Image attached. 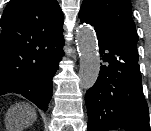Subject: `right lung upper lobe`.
<instances>
[{
	"label": "right lung upper lobe",
	"mask_w": 151,
	"mask_h": 131,
	"mask_svg": "<svg viewBox=\"0 0 151 131\" xmlns=\"http://www.w3.org/2000/svg\"><path fill=\"white\" fill-rule=\"evenodd\" d=\"M56 0H11L1 21L0 92L41 70L49 48L63 40Z\"/></svg>",
	"instance_id": "1"
}]
</instances>
